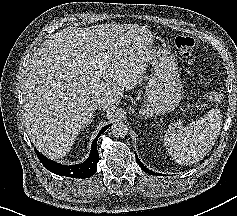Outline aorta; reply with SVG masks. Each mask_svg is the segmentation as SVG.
I'll return each instance as SVG.
<instances>
[{
    "mask_svg": "<svg viewBox=\"0 0 237 216\" xmlns=\"http://www.w3.org/2000/svg\"><path fill=\"white\" fill-rule=\"evenodd\" d=\"M111 133L114 138L123 139L128 134V127L124 122L117 121L111 127Z\"/></svg>",
    "mask_w": 237,
    "mask_h": 216,
    "instance_id": "762f6f07",
    "label": "aorta"
}]
</instances>
